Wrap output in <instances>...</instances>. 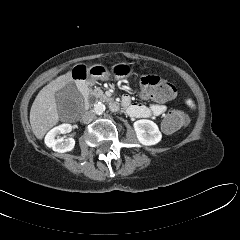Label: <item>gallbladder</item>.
<instances>
[{
  "label": "gallbladder",
  "instance_id": "1",
  "mask_svg": "<svg viewBox=\"0 0 240 240\" xmlns=\"http://www.w3.org/2000/svg\"><path fill=\"white\" fill-rule=\"evenodd\" d=\"M58 113L61 117L76 110L81 104V97L73 82L55 93Z\"/></svg>",
  "mask_w": 240,
  "mask_h": 240
}]
</instances>
